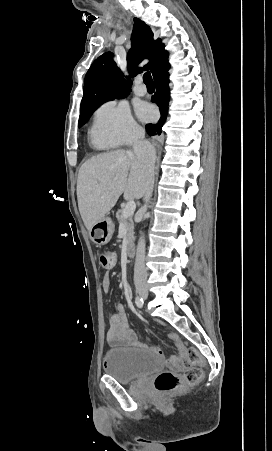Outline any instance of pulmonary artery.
Segmentation results:
<instances>
[{"mask_svg": "<svg viewBox=\"0 0 272 451\" xmlns=\"http://www.w3.org/2000/svg\"><path fill=\"white\" fill-rule=\"evenodd\" d=\"M144 86L142 85V84H137L136 86H135V89H134V93L137 95V96H144L145 95V91H144Z\"/></svg>", "mask_w": 272, "mask_h": 451, "instance_id": "e3ab8cb5", "label": "pulmonary artery"}]
</instances>
